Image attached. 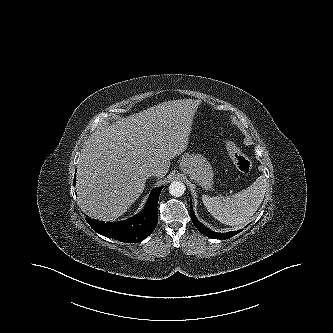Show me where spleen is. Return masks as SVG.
<instances>
[{
  "label": "spleen",
  "instance_id": "obj_1",
  "mask_svg": "<svg viewBox=\"0 0 333 333\" xmlns=\"http://www.w3.org/2000/svg\"><path fill=\"white\" fill-rule=\"evenodd\" d=\"M267 180L259 176L248 188L232 197L202 196L208 212L219 222L229 226H241L248 222L260 207L266 190Z\"/></svg>",
  "mask_w": 333,
  "mask_h": 333
}]
</instances>
